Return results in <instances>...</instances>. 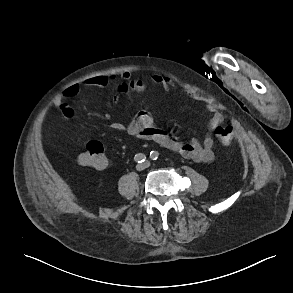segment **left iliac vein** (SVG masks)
Masks as SVG:
<instances>
[{"mask_svg":"<svg viewBox=\"0 0 293 293\" xmlns=\"http://www.w3.org/2000/svg\"><path fill=\"white\" fill-rule=\"evenodd\" d=\"M145 165H146V167H148L150 165V163L149 162H146Z\"/></svg>","mask_w":293,"mask_h":293,"instance_id":"left-iliac-vein-1","label":"left iliac vein"}]
</instances>
